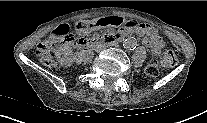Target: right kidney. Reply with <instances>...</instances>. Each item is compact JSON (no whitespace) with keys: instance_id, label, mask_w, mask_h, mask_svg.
<instances>
[{"instance_id":"ca27d5eb","label":"right kidney","mask_w":207,"mask_h":123,"mask_svg":"<svg viewBox=\"0 0 207 123\" xmlns=\"http://www.w3.org/2000/svg\"><path fill=\"white\" fill-rule=\"evenodd\" d=\"M56 58L60 64L64 67H69L72 65L71 53L65 51L63 47H58L56 50Z\"/></svg>"}]
</instances>
